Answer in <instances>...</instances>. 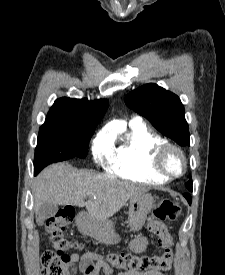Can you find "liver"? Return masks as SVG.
Listing matches in <instances>:
<instances>
[{
    "instance_id": "liver-1",
    "label": "liver",
    "mask_w": 225,
    "mask_h": 275,
    "mask_svg": "<svg viewBox=\"0 0 225 275\" xmlns=\"http://www.w3.org/2000/svg\"><path fill=\"white\" fill-rule=\"evenodd\" d=\"M146 191L114 176L78 170L62 162L46 167L38 175L33 188L34 209L37 214L46 202L86 207L90 218L105 222L131 197ZM86 197H89V200L85 202Z\"/></svg>"
}]
</instances>
